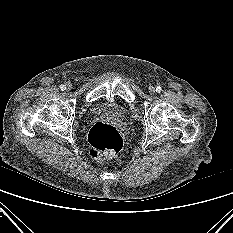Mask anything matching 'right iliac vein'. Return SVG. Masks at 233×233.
<instances>
[{
  "mask_svg": "<svg viewBox=\"0 0 233 233\" xmlns=\"http://www.w3.org/2000/svg\"><path fill=\"white\" fill-rule=\"evenodd\" d=\"M72 89V84L71 83H68L67 84V90H71Z\"/></svg>",
  "mask_w": 233,
  "mask_h": 233,
  "instance_id": "right-iliac-vein-1",
  "label": "right iliac vein"
}]
</instances>
